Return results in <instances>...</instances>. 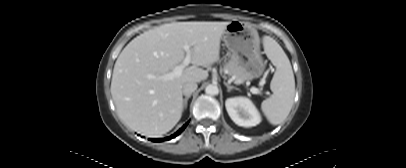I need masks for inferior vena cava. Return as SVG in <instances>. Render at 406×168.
<instances>
[{
    "label": "inferior vena cava",
    "mask_w": 406,
    "mask_h": 168,
    "mask_svg": "<svg viewBox=\"0 0 406 168\" xmlns=\"http://www.w3.org/2000/svg\"><path fill=\"white\" fill-rule=\"evenodd\" d=\"M197 89V83L194 81L187 82L182 87V93L185 96L191 95Z\"/></svg>",
    "instance_id": "inferior-vena-cava-1"
}]
</instances>
